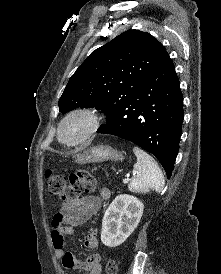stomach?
<instances>
[{
	"instance_id": "stomach-1",
	"label": "stomach",
	"mask_w": 221,
	"mask_h": 274,
	"mask_svg": "<svg viewBox=\"0 0 221 274\" xmlns=\"http://www.w3.org/2000/svg\"><path fill=\"white\" fill-rule=\"evenodd\" d=\"M122 159L123 155L121 152L105 145L93 146L77 155V162L82 164L100 163L108 160L118 161Z\"/></svg>"
}]
</instances>
